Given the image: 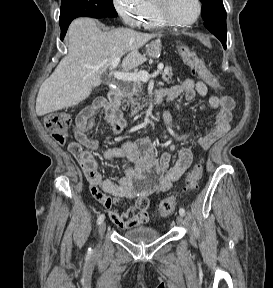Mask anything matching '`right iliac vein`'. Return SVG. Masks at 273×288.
<instances>
[{
    "label": "right iliac vein",
    "mask_w": 273,
    "mask_h": 288,
    "mask_svg": "<svg viewBox=\"0 0 273 288\" xmlns=\"http://www.w3.org/2000/svg\"><path fill=\"white\" fill-rule=\"evenodd\" d=\"M105 230H106V223L102 222L99 226V229H98L100 238L103 237Z\"/></svg>",
    "instance_id": "obj_1"
}]
</instances>
